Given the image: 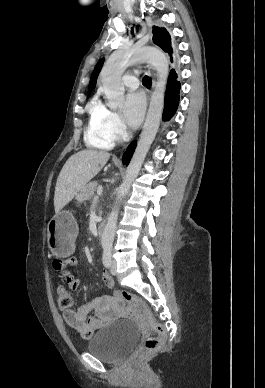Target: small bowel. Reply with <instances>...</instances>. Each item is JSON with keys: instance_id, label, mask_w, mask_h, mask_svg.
<instances>
[{"instance_id": "c3829d8e", "label": "small bowel", "mask_w": 265, "mask_h": 388, "mask_svg": "<svg viewBox=\"0 0 265 388\" xmlns=\"http://www.w3.org/2000/svg\"><path fill=\"white\" fill-rule=\"evenodd\" d=\"M78 265L75 257H68L55 262V268L61 272L71 290L80 288V280L72 272ZM102 281L108 287L115 285L114 279L107 273L102 274ZM93 312V314H91ZM123 312L122 303L110 296L93 298L78 310H65L64 321L83 338H90L102 326L116 319Z\"/></svg>"}]
</instances>
